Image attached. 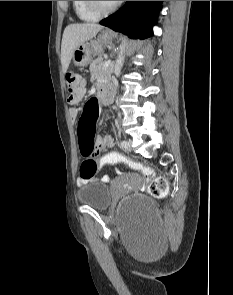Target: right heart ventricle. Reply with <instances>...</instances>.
Listing matches in <instances>:
<instances>
[{"label": "right heart ventricle", "mask_w": 233, "mask_h": 295, "mask_svg": "<svg viewBox=\"0 0 233 295\" xmlns=\"http://www.w3.org/2000/svg\"><path fill=\"white\" fill-rule=\"evenodd\" d=\"M72 5L76 16L82 21L92 22L99 18L88 9L85 1H72Z\"/></svg>", "instance_id": "e07e8e85"}]
</instances>
